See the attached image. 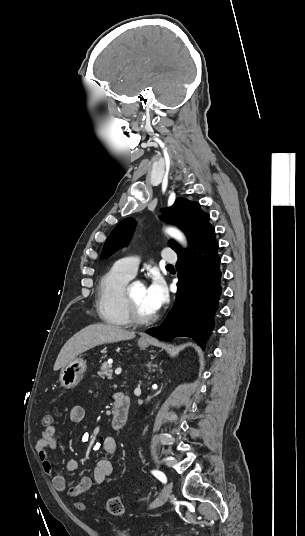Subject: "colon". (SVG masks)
Returning a JSON list of instances; mask_svg holds the SVG:
<instances>
[{
  "label": "colon",
  "instance_id": "colon-1",
  "mask_svg": "<svg viewBox=\"0 0 305 536\" xmlns=\"http://www.w3.org/2000/svg\"><path fill=\"white\" fill-rule=\"evenodd\" d=\"M43 424L47 427L51 426L52 416L45 414L43 416ZM74 507L80 512H85L87 510V505L81 500H74ZM106 509L112 515H121L124 511V506L119 497H112L107 501Z\"/></svg>",
  "mask_w": 305,
  "mask_h": 536
}]
</instances>
